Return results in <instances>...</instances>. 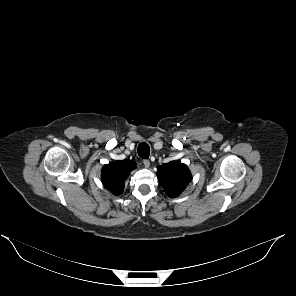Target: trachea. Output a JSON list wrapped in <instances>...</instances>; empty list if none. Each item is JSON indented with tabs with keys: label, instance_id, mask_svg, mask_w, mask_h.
Returning a JSON list of instances; mask_svg holds the SVG:
<instances>
[{
	"label": "trachea",
	"instance_id": "trachea-1",
	"mask_svg": "<svg viewBox=\"0 0 296 296\" xmlns=\"http://www.w3.org/2000/svg\"><path fill=\"white\" fill-rule=\"evenodd\" d=\"M138 155L143 158V159H148L149 154H150V148L149 145L145 142H142L138 146Z\"/></svg>",
	"mask_w": 296,
	"mask_h": 296
}]
</instances>
